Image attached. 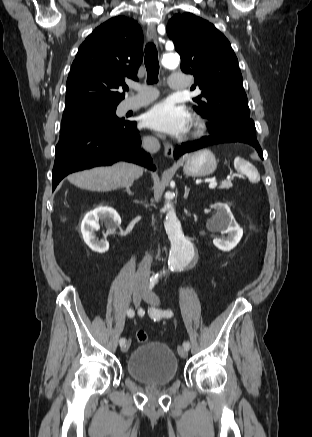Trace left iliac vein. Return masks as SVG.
<instances>
[{"label": "left iliac vein", "mask_w": 312, "mask_h": 437, "mask_svg": "<svg viewBox=\"0 0 312 437\" xmlns=\"http://www.w3.org/2000/svg\"><path fill=\"white\" fill-rule=\"evenodd\" d=\"M143 298L147 303H149L153 306L159 305L158 296L150 290L144 291ZM178 354L180 355V357L185 358L188 355V349L184 348L183 346H179L178 347Z\"/></svg>", "instance_id": "obj_1"}]
</instances>
